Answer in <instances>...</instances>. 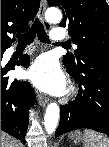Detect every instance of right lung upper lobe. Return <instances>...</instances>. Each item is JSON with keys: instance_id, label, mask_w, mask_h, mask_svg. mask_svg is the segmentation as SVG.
<instances>
[{"instance_id": "obj_1", "label": "right lung upper lobe", "mask_w": 109, "mask_h": 147, "mask_svg": "<svg viewBox=\"0 0 109 147\" xmlns=\"http://www.w3.org/2000/svg\"><path fill=\"white\" fill-rule=\"evenodd\" d=\"M39 6L40 0H1V48L15 41L10 34L28 30V22L34 18Z\"/></svg>"}]
</instances>
